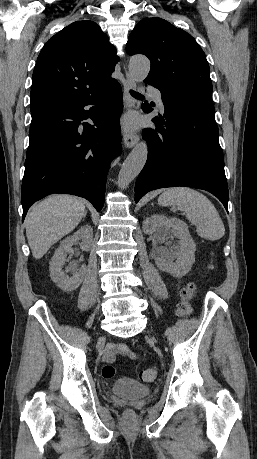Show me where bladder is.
Returning <instances> with one entry per match:
<instances>
[{"instance_id":"1","label":"bladder","mask_w":257,"mask_h":459,"mask_svg":"<svg viewBox=\"0 0 257 459\" xmlns=\"http://www.w3.org/2000/svg\"><path fill=\"white\" fill-rule=\"evenodd\" d=\"M112 393L128 399H137L148 396L151 389L134 380L120 379L112 387Z\"/></svg>"}]
</instances>
